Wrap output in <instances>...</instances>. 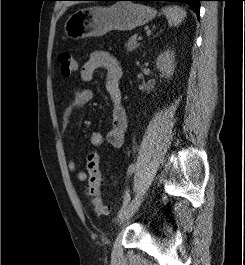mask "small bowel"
Wrapping results in <instances>:
<instances>
[{
  "mask_svg": "<svg viewBox=\"0 0 245 265\" xmlns=\"http://www.w3.org/2000/svg\"><path fill=\"white\" fill-rule=\"evenodd\" d=\"M106 71L105 87L113 104L112 125L106 135L95 131L90 136V143L94 147H101L105 142L114 148H120L125 141V133L128 126V118L125 108L122 105V94L120 82L123 70L120 63L109 53L95 51L81 68L80 77L82 81L89 82L93 79L97 70ZM94 96V92L88 87H78L74 90L72 99L64 108L61 120V134L67 130L71 117L79 112ZM70 172H76L78 165L73 159L67 163ZM76 177L80 182L88 180V175L84 171H78Z\"/></svg>",
  "mask_w": 245,
  "mask_h": 265,
  "instance_id": "c3829d8e",
  "label": "small bowel"
}]
</instances>
